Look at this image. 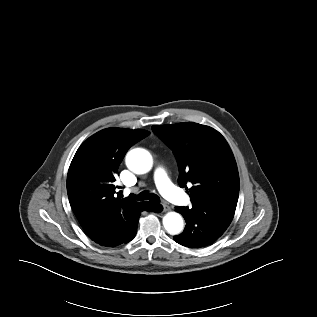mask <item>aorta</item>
<instances>
[{
    "instance_id": "obj_1",
    "label": "aorta",
    "mask_w": 317,
    "mask_h": 317,
    "mask_svg": "<svg viewBox=\"0 0 317 317\" xmlns=\"http://www.w3.org/2000/svg\"><path fill=\"white\" fill-rule=\"evenodd\" d=\"M126 165L136 174H145L153 166V157L149 151L143 148H135L127 153ZM163 226L169 234L177 235L183 230V218L177 212H168L163 217Z\"/></svg>"
}]
</instances>
